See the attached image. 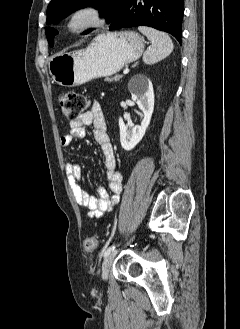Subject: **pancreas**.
<instances>
[{
    "label": "pancreas",
    "instance_id": "pancreas-1",
    "mask_svg": "<svg viewBox=\"0 0 240 329\" xmlns=\"http://www.w3.org/2000/svg\"><path fill=\"white\" fill-rule=\"evenodd\" d=\"M121 78H122V75L117 74L111 78H106L105 80L107 82H113V81H119Z\"/></svg>",
    "mask_w": 240,
    "mask_h": 329
}]
</instances>
